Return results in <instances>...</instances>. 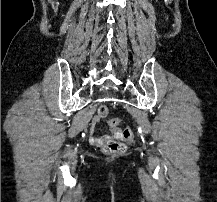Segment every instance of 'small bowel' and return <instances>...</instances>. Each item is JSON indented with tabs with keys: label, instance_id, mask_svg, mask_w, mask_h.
<instances>
[{
	"label": "small bowel",
	"instance_id": "small-bowel-1",
	"mask_svg": "<svg viewBox=\"0 0 217 202\" xmlns=\"http://www.w3.org/2000/svg\"><path fill=\"white\" fill-rule=\"evenodd\" d=\"M102 120H99V114L97 113L91 121L89 127V143L96 147H102L107 141L111 140L112 137L117 138V136H123V132L120 128H109L108 134L98 135L97 127Z\"/></svg>",
	"mask_w": 217,
	"mask_h": 202
}]
</instances>
